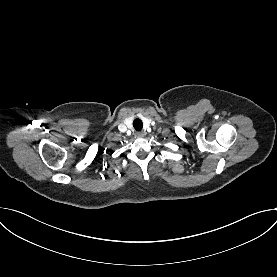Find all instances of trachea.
<instances>
[{"label": "trachea", "instance_id": "trachea-1", "mask_svg": "<svg viewBox=\"0 0 277 277\" xmlns=\"http://www.w3.org/2000/svg\"><path fill=\"white\" fill-rule=\"evenodd\" d=\"M133 127L136 131H141L143 128V122L140 119L136 118L133 121Z\"/></svg>", "mask_w": 277, "mask_h": 277}]
</instances>
